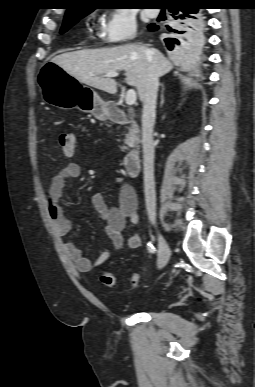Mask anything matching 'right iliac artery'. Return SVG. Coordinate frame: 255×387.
<instances>
[{
  "mask_svg": "<svg viewBox=\"0 0 255 387\" xmlns=\"http://www.w3.org/2000/svg\"><path fill=\"white\" fill-rule=\"evenodd\" d=\"M147 249L150 253H155L156 251L155 247L150 242L147 244Z\"/></svg>",
  "mask_w": 255,
  "mask_h": 387,
  "instance_id": "82829eb1",
  "label": "right iliac artery"
}]
</instances>
